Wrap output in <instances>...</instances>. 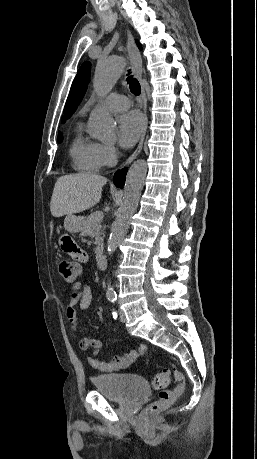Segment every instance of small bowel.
I'll use <instances>...</instances> for the list:
<instances>
[{
    "mask_svg": "<svg viewBox=\"0 0 257 459\" xmlns=\"http://www.w3.org/2000/svg\"><path fill=\"white\" fill-rule=\"evenodd\" d=\"M58 247L68 258L69 264H88L89 256L87 250L79 245L78 239H73L71 235H60ZM92 302L90 286L86 283H77L69 291V302L66 308V317L71 324L73 331L77 334L83 333V327L78 318L77 307L86 310ZM79 348L86 351L93 348L91 355L87 357L88 363L96 370L104 373L117 371L126 368L136 362L146 351V347L141 345L138 349H131L125 355L115 357L112 360L104 361L99 359L102 342L93 337L83 336L79 340Z\"/></svg>",
    "mask_w": 257,
    "mask_h": 459,
    "instance_id": "c3829d8e",
    "label": "small bowel"
}]
</instances>
